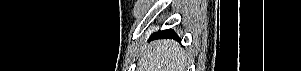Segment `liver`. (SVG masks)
Instances as JSON below:
<instances>
[{
    "mask_svg": "<svg viewBox=\"0 0 301 71\" xmlns=\"http://www.w3.org/2000/svg\"><path fill=\"white\" fill-rule=\"evenodd\" d=\"M186 54L174 40H156L140 54L137 71H185Z\"/></svg>",
    "mask_w": 301,
    "mask_h": 71,
    "instance_id": "1",
    "label": "liver"
}]
</instances>
